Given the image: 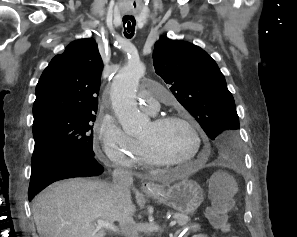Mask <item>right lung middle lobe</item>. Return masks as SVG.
<instances>
[{
    "instance_id": "right-lung-middle-lobe-1",
    "label": "right lung middle lobe",
    "mask_w": 297,
    "mask_h": 237,
    "mask_svg": "<svg viewBox=\"0 0 297 237\" xmlns=\"http://www.w3.org/2000/svg\"><path fill=\"white\" fill-rule=\"evenodd\" d=\"M95 113L52 114L33 123L35 140L32 160L38 155L62 148H72L90 155L93 152Z\"/></svg>"
}]
</instances>
